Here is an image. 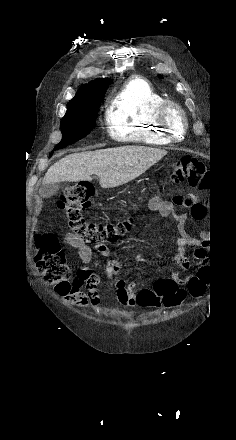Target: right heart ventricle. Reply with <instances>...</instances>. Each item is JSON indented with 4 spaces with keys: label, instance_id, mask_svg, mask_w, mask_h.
I'll return each mask as SVG.
<instances>
[{
    "label": "right heart ventricle",
    "instance_id": "1",
    "mask_svg": "<svg viewBox=\"0 0 236 440\" xmlns=\"http://www.w3.org/2000/svg\"><path fill=\"white\" fill-rule=\"evenodd\" d=\"M164 100L147 80L130 79L107 106L108 135L119 142L151 146L169 144L171 141L161 132L155 119L156 110Z\"/></svg>",
    "mask_w": 236,
    "mask_h": 440
}]
</instances>
